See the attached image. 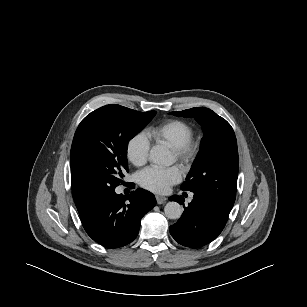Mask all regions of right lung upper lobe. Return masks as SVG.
<instances>
[{"instance_id":"1","label":"right lung upper lobe","mask_w":307,"mask_h":307,"mask_svg":"<svg viewBox=\"0 0 307 307\" xmlns=\"http://www.w3.org/2000/svg\"><path fill=\"white\" fill-rule=\"evenodd\" d=\"M81 211H83V210H78V212H81Z\"/></svg>"}]
</instances>
